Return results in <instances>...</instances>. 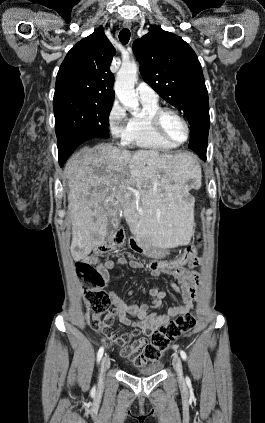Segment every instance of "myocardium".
Wrapping results in <instances>:
<instances>
[{
  "label": "myocardium",
  "instance_id": "obj_1",
  "mask_svg": "<svg viewBox=\"0 0 265 423\" xmlns=\"http://www.w3.org/2000/svg\"><path fill=\"white\" fill-rule=\"evenodd\" d=\"M166 114H173L174 116H176L184 125L185 130H186V137L183 141L181 142H177L175 140H173L170 136H168V134L165 132L164 127H163V118ZM151 124L152 127L154 129V131L156 132V134L163 139L164 141L175 145V146H180L185 144L190 137V125L188 123V121L186 120V118L176 109L171 108V107H160L159 109H157L152 115H151Z\"/></svg>",
  "mask_w": 265,
  "mask_h": 423
}]
</instances>
